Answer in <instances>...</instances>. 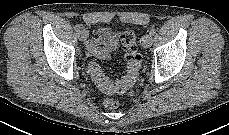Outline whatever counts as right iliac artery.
<instances>
[{
  "label": "right iliac artery",
  "instance_id": "82829eb1",
  "mask_svg": "<svg viewBox=\"0 0 229 135\" xmlns=\"http://www.w3.org/2000/svg\"><path fill=\"white\" fill-rule=\"evenodd\" d=\"M82 29V25H80V24H77L76 26H75V30L78 32V31H80Z\"/></svg>",
  "mask_w": 229,
  "mask_h": 135
}]
</instances>
